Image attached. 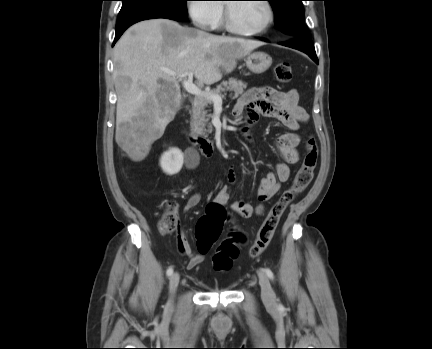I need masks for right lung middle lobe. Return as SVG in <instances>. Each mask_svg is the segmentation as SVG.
Segmentation results:
<instances>
[{"mask_svg":"<svg viewBox=\"0 0 432 349\" xmlns=\"http://www.w3.org/2000/svg\"><path fill=\"white\" fill-rule=\"evenodd\" d=\"M122 7L118 21L143 13H158L174 20L187 17L188 0H121Z\"/></svg>","mask_w":432,"mask_h":349,"instance_id":"dd1d6c3e","label":"right lung middle lobe"}]
</instances>
